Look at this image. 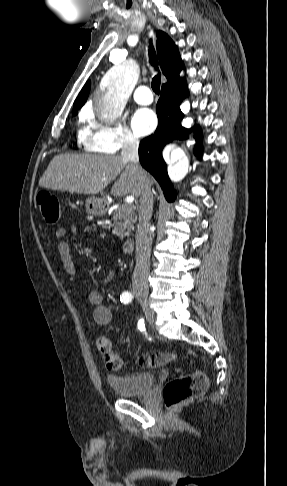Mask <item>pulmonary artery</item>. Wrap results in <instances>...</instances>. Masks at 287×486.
Here are the masks:
<instances>
[{
	"mask_svg": "<svg viewBox=\"0 0 287 486\" xmlns=\"http://www.w3.org/2000/svg\"><path fill=\"white\" fill-rule=\"evenodd\" d=\"M134 100L141 105H149L153 102V95L147 86H139L133 94Z\"/></svg>",
	"mask_w": 287,
	"mask_h": 486,
	"instance_id": "obj_1",
	"label": "pulmonary artery"
}]
</instances>
